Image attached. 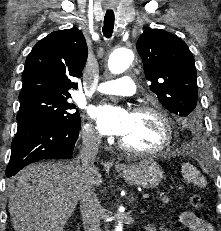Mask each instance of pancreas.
Here are the masks:
<instances>
[{"label": "pancreas", "instance_id": "pancreas-1", "mask_svg": "<svg viewBox=\"0 0 221 231\" xmlns=\"http://www.w3.org/2000/svg\"><path fill=\"white\" fill-rule=\"evenodd\" d=\"M159 200L163 203H169V197L166 195H160Z\"/></svg>", "mask_w": 221, "mask_h": 231}]
</instances>
